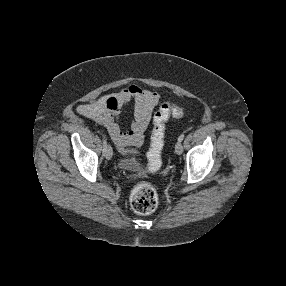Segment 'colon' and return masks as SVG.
Returning a JSON list of instances; mask_svg holds the SVG:
<instances>
[{"label": "colon", "instance_id": "obj_1", "mask_svg": "<svg viewBox=\"0 0 286 286\" xmlns=\"http://www.w3.org/2000/svg\"><path fill=\"white\" fill-rule=\"evenodd\" d=\"M185 110L171 102L163 103L154 115L150 148L147 153L149 170L155 171L161 166L164 146L165 124L170 117L180 118ZM130 205L138 214L154 212L158 206L156 189L148 182L137 183L130 193Z\"/></svg>", "mask_w": 286, "mask_h": 286}]
</instances>
